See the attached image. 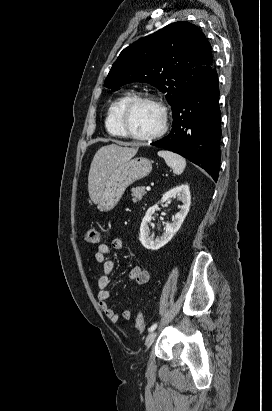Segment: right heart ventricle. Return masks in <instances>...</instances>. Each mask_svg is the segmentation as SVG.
Masks as SVG:
<instances>
[{"label": "right heart ventricle", "instance_id": "1", "mask_svg": "<svg viewBox=\"0 0 272 411\" xmlns=\"http://www.w3.org/2000/svg\"><path fill=\"white\" fill-rule=\"evenodd\" d=\"M131 97L130 92H124L110 104L105 117V128L109 134L116 137H125L119 124V114L124 104Z\"/></svg>", "mask_w": 272, "mask_h": 411}]
</instances>
